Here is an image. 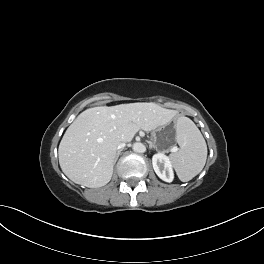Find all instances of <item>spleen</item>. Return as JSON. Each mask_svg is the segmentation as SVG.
<instances>
[{
    "mask_svg": "<svg viewBox=\"0 0 264 264\" xmlns=\"http://www.w3.org/2000/svg\"><path fill=\"white\" fill-rule=\"evenodd\" d=\"M176 142L179 150L170 154L178 178L189 181L201 172L207 159V145L195 123L188 117L176 122Z\"/></svg>",
    "mask_w": 264,
    "mask_h": 264,
    "instance_id": "spleen-1",
    "label": "spleen"
}]
</instances>
